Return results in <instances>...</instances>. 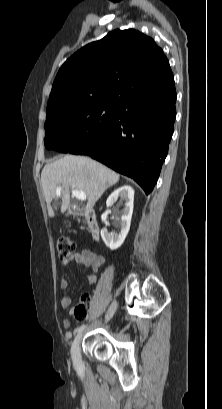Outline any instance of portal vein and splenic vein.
<instances>
[{"label": "portal vein and splenic vein", "instance_id": "obj_1", "mask_svg": "<svg viewBox=\"0 0 222 409\" xmlns=\"http://www.w3.org/2000/svg\"><path fill=\"white\" fill-rule=\"evenodd\" d=\"M57 192H61V187H58ZM72 195L81 201H85L87 199L86 194L83 191H79L76 189H72Z\"/></svg>", "mask_w": 222, "mask_h": 409}]
</instances>
